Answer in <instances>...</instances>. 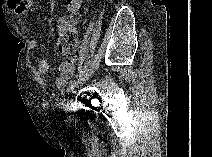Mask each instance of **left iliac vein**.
<instances>
[{
  "label": "left iliac vein",
  "instance_id": "1",
  "mask_svg": "<svg viewBox=\"0 0 212 157\" xmlns=\"http://www.w3.org/2000/svg\"><path fill=\"white\" fill-rule=\"evenodd\" d=\"M76 89H73L72 91H70L71 93L75 94L76 93Z\"/></svg>",
  "mask_w": 212,
  "mask_h": 157
}]
</instances>
